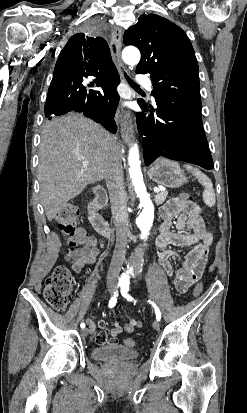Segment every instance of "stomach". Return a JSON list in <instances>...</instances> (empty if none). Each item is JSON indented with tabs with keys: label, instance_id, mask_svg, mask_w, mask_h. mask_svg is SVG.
Masks as SVG:
<instances>
[{
	"label": "stomach",
	"instance_id": "stomach-1",
	"mask_svg": "<svg viewBox=\"0 0 247 413\" xmlns=\"http://www.w3.org/2000/svg\"><path fill=\"white\" fill-rule=\"evenodd\" d=\"M148 176L152 178L154 182L164 184V186H170V188H177V186H182V184L188 182L187 176L178 162L168 160V158H159V160H156L153 166H150Z\"/></svg>",
	"mask_w": 247,
	"mask_h": 413
}]
</instances>
